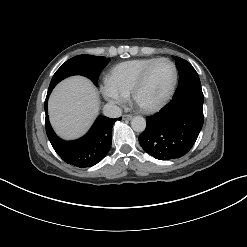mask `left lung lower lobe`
<instances>
[{
  "instance_id": "obj_1",
  "label": "left lung lower lobe",
  "mask_w": 247,
  "mask_h": 247,
  "mask_svg": "<svg viewBox=\"0 0 247 247\" xmlns=\"http://www.w3.org/2000/svg\"><path fill=\"white\" fill-rule=\"evenodd\" d=\"M203 101L199 86L176 90L165 107L147 117L146 128L139 136L142 148L159 160L185 155L203 126Z\"/></svg>"
}]
</instances>
